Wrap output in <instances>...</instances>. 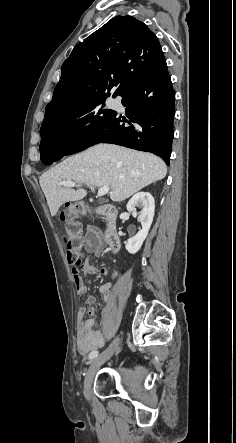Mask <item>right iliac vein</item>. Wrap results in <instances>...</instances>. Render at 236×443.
Wrapping results in <instances>:
<instances>
[{
  "mask_svg": "<svg viewBox=\"0 0 236 443\" xmlns=\"http://www.w3.org/2000/svg\"><path fill=\"white\" fill-rule=\"evenodd\" d=\"M120 342V337L117 336L113 342L109 345L107 349H105L101 354H99L96 358L93 359L91 362L85 379H84V394L86 396H89L91 393V386L94 379V376L98 369L101 367L102 364H104L107 360L111 358V356L114 354L115 350L117 349Z\"/></svg>",
  "mask_w": 236,
  "mask_h": 443,
  "instance_id": "63e3f726",
  "label": "right iliac vein"
}]
</instances>
